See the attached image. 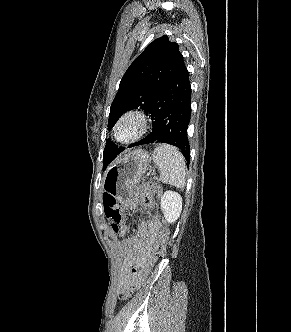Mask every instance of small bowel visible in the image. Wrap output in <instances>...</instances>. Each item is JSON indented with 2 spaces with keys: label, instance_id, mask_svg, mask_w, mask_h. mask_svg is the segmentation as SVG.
Instances as JSON below:
<instances>
[{
  "label": "small bowel",
  "instance_id": "obj_1",
  "mask_svg": "<svg viewBox=\"0 0 291 332\" xmlns=\"http://www.w3.org/2000/svg\"><path fill=\"white\" fill-rule=\"evenodd\" d=\"M162 225L157 219H147L142 222L136 232L124 241V248L128 251V258L123 270L121 288L124 290L132 281L134 271L143 266L151 255L153 247L159 240ZM127 232V226L123 225Z\"/></svg>",
  "mask_w": 291,
  "mask_h": 332
}]
</instances>
